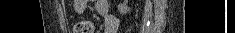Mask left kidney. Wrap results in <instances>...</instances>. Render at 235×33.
Segmentation results:
<instances>
[{"instance_id": "left-kidney-1", "label": "left kidney", "mask_w": 235, "mask_h": 33, "mask_svg": "<svg viewBox=\"0 0 235 33\" xmlns=\"http://www.w3.org/2000/svg\"><path fill=\"white\" fill-rule=\"evenodd\" d=\"M118 11L120 12V14H126V13H130L131 8H129L127 4L125 3H120L118 5Z\"/></svg>"}]
</instances>
